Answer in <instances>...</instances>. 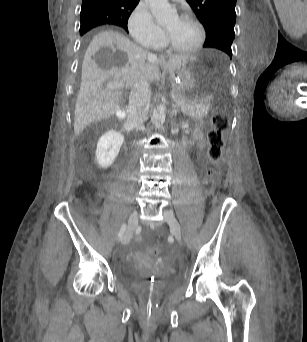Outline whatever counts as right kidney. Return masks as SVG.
I'll list each match as a JSON object with an SVG mask.
<instances>
[{"label": "right kidney", "instance_id": "ca27d5eb", "mask_svg": "<svg viewBox=\"0 0 307 342\" xmlns=\"http://www.w3.org/2000/svg\"><path fill=\"white\" fill-rule=\"evenodd\" d=\"M123 142L124 136L120 132H116V130H109L99 138L95 152L98 168H110L112 166Z\"/></svg>", "mask_w": 307, "mask_h": 342}]
</instances>
